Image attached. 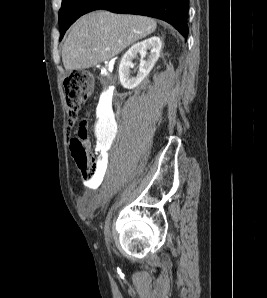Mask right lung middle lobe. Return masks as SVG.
<instances>
[{"label": "right lung middle lobe", "instance_id": "dd1d6c3e", "mask_svg": "<svg viewBox=\"0 0 267 298\" xmlns=\"http://www.w3.org/2000/svg\"><path fill=\"white\" fill-rule=\"evenodd\" d=\"M97 1L98 0H62V6L59 11L60 40L70 25L80 16L90 12V9Z\"/></svg>", "mask_w": 267, "mask_h": 298}]
</instances>
